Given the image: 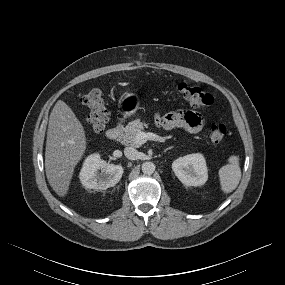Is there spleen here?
Returning <instances> with one entry per match:
<instances>
[{
	"mask_svg": "<svg viewBox=\"0 0 285 285\" xmlns=\"http://www.w3.org/2000/svg\"><path fill=\"white\" fill-rule=\"evenodd\" d=\"M220 185L224 193L232 192L239 184L241 179V169L239 157L232 155L228 158V164L219 170Z\"/></svg>",
	"mask_w": 285,
	"mask_h": 285,
	"instance_id": "obj_1",
	"label": "spleen"
}]
</instances>
